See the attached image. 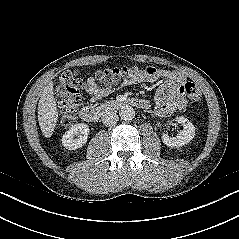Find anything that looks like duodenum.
Wrapping results in <instances>:
<instances>
[{
  "label": "duodenum",
  "instance_id": "obj_1",
  "mask_svg": "<svg viewBox=\"0 0 239 239\" xmlns=\"http://www.w3.org/2000/svg\"><path fill=\"white\" fill-rule=\"evenodd\" d=\"M133 106L142 110L149 108L148 101L140 98H120L117 100L107 101L99 107L84 106L81 109L80 117L83 121L93 123L97 122L99 118L107 112L125 107Z\"/></svg>",
  "mask_w": 239,
  "mask_h": 239
}]
</instances>
